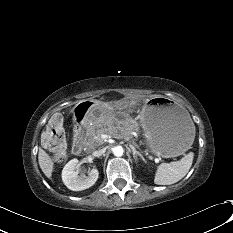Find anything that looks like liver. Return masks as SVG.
I'll return each mask as SVG.
<instances>
[{
    "label": "liver",
    "mask_w": 233,
    "mask_h": 233,
    "mask_svg": "<svg viewBox=\"0 0 233 233\" xmlns=\"http://www.w3.org/2000/svg\"><path fill=\"white\" fill-rule=\"evenodd\" d=\"M38 162L42 172L50 178L53 172L54 163L52 158L43 149H39Z\"/></svg>",
    "instance_id": "obj_1"
}]
</instances>
